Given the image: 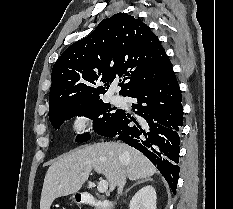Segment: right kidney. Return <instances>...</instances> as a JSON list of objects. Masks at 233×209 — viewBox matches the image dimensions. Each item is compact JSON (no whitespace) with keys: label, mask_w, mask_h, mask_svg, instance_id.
Listing matches in <instances>:
<instances>
[{"label":"right kidney","mask_w":233,"mask_h":209,"mask_svg":"<svg viewBox=\"0 0 233 209\" xmlns=\"http://www.w3.org/2000/svg\"><path fill=\"white\" fill-rule=\"evenodd\" d=\"M156 191L151 185L141 188L132 197L130 209H156Z\"/></svg>","instance_id":"right-kidney-1"}]
</instances>
